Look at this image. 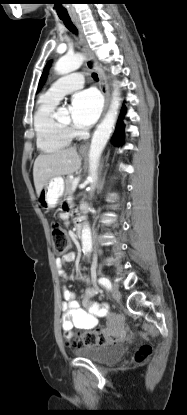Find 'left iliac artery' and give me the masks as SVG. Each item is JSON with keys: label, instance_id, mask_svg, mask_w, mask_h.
I'll return each mask as SVG.
<instances>
[{"label": "left iliac artery", "instance_id": "1", "mask_svg": "<svg viewBox=\"0 0 187 415\" xmlns=\"http://www.w3.org/2000/svg\"><path fill=\"white\" fill-rule=\"evenodd\" d=\"M99 283H100L101 285H103L104 287H106L108 290H110V289H111V287H112L111 282L109 281V279H107V278H105V277H101V278L99 279Z\"/></svg>", "mask_w": 187, "mask_h": 415}]
</instances>
